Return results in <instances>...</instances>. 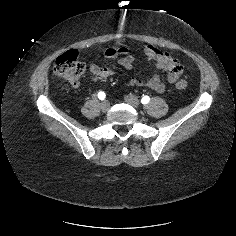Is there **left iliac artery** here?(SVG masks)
I'll use <instances>...</instances> for the list:
<instances>
[{
    "mask_svg": "<svg viewBox=\"0 0 236 236\" xmlns=\"http://www.w3.org/2000/svg\"><path fill=\"white\" fill-rule=\"evenodd\" d=\"M149 101H150L149 96H144V97L141 99V103H142V104H147V103H149Z\"/></svg>",
    "mask_w": 236,
    "mask_h": 236,
    "instance_id": "44dca946",
    "label": "left iliac artery"
}]
</instances>
